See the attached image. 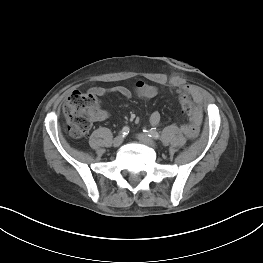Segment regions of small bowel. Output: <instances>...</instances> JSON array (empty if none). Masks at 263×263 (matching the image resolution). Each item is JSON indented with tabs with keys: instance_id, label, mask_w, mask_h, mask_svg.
<instances>
[{
	"instance_id": "small-bowel-1",
	"label": "small bowel",
	"mask_w": 263,
	"mask_h": 263,
	"mask_svg": "<svg viewBox=\"0 0 263 263\" xmlns=\"http://www.w3.org/2000/svg\"><path fill=\"white\" fill-rule=\"evenodd\" d=\"M185 91L190 93L191 96L193 97L195 103H196V108L194 110V115H195V120L196 123L199 122L198 129H195L193 132L191 131L190 127H187L186 125L182 126V133L185 134V137L190 139V140H196L199 138L200 135L203 134V129L205 128V121H204V116L201 113V107L200 103L202 101V96L200 92L195 90L194 88L190 86H186ZM91 91L96 92L99 96L105 95L106 93H116L119 94L125 98H130L132 94L136 95L137 97L141 99H152L155 98L159 94V89L154 86V85H149L147 83H144L142 81L136 82L134 85L133 91H131L129 88L125 86H114L109 89L104 88V87H95ZM98 118L103 119L105 118L104 113H100L98 115ZM161 120V115L159 112L155 111L151 113L149 117V121L152 125L156 126L160 123Z\"/></svg>"
}]
</instances>
